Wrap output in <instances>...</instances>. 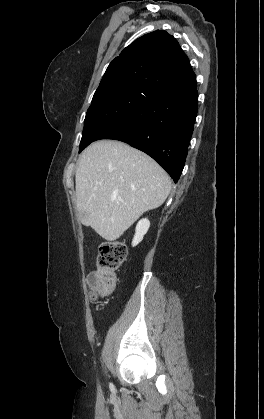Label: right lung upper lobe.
I'll return each mask as SVG.
<instances>
[{"label":"right lung upper lobe","mask_w":264,"mask_h":419,"mask_svg":"<svg viewBox=\"0 0 264 419\" xmlns=\"http://www.w3.org/2000/svg\"><path fill=\"white\" fill-rule=\"evenodd\" d=\"M128 84L154 95L196 84V76L176 39L157 30L136 39L108 66L98 89Z\"/></svg>","instance_id":"1"}]
</instances>
